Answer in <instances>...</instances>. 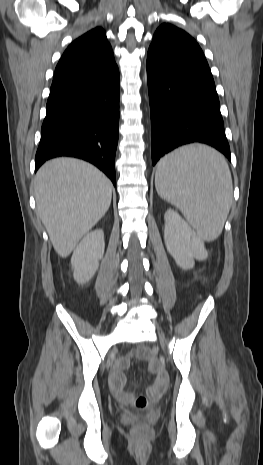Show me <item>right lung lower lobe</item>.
Instances as JSON below:
<instances>
[{
  "instance_id": "98d812e1",
  "label": "right lung lower lobe",
  "mask_w": 263,
  "mask_h": 465,
  "mask_svg": "<svg viewBox=\"0 0 263 465\" xmlns=\"http://www.w3.org/2000/svg\"><path fill=\"white\" fill-rule=\"evenodd\" d=\"M119 125V70L51 86L35 157L71 156L91 162L114 183Z\"/></svg>"
}]
</instances>
